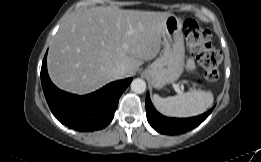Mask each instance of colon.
Here are the masks:
<instances>
[{"instance_id": "5ec220e1", "label": "colon", "mask_w": 261, "mask_h": 162, "mask_svg": "<svg viewBox=\"0 0 261 162\" xmlns=\"http://www.w3.org/2000/svg\"><path fill=\"white\" fill-rule=\"evenodd\" d=\"M184 35L189 50L204 70L203 81L207 84L216 82L222 56L219 51L211 48V32L188 19L184 23Z\"/></svg>"}]
</instances>
